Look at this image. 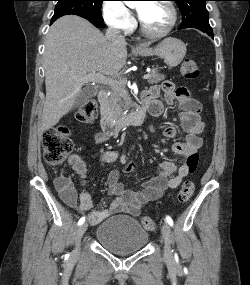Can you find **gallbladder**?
Listing matches in <instances>:
<instances>
[{
	"label": "gallbladder",
	"mask_w": 250,
	"mask_h": 285,
	"mask_svg": "<svg viewBox=\"0 0 250 285\" xmlns=\"http://www.w3.org/2000/svg\"><path fill=\"white\" fill-rule=\"evenodd\" d=\"M96 93L94 88L91 87H86L83 88L80 95L78 96V98L75 101L74 107H79L82 104H84L89 98H91L92 96H94Z\"/></svg>",
	"instance_id": "obj_1"
}]
</instances>
